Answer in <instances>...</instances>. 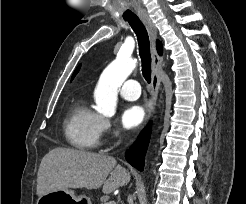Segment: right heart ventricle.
Returning a JSON list of instances; mask_svg holds the SVG:
<instances>
[{"label": "right heart ventricle", "mask_w": 246, "mask_h": 204, "mask_svg": "<svg viewBox=\"0 0 246 204\" xmlns=\"http://www.w3.org/2000/svg\"><path fill=\"white\" fill-rule=\"evenodd\" d=\"M103 121L102 116L92 110L85 100L75 101L64 121L67 142L79 150L96 149L100 145Z\"/></svg>", "instance_id": "right-heart-ventricle-1"}]
</instances>
